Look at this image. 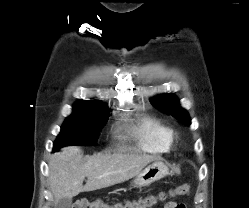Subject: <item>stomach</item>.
Segmentation results:
<instances>
[{
  "instance_id": "obj_1",
  "label": "stomach",
  "mask_w": 249,
  "mask_h": 208,
  "mask_svg": "<svg viewBox=\"0 0 249 208\" xmlns=\"http://www.w3.org/2000/svg\"><path fill=\"white\" fill-rule=\"evenodd\" d=\"M169 174L168 167L161 161L145 167L133 180L134 187L141 188L151 185L153 182L158 181Z\"/></svg>"
}]
</instances>
